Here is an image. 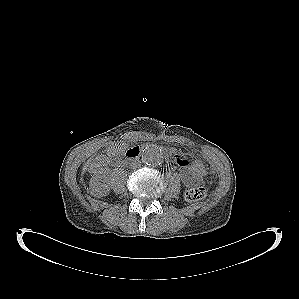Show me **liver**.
<instances>
[{
	"label": "liver",
	"mask_w": 299,
	"mask_h": 299,
	"mask_svg": "<svg viewBox=\"0 0 299 299\" xmlns=\"http://www.w3.org/2000/svg\"><path fill=\"white\" fill-rule=\"evenodd\" d=\"M87 166H88V165H87ZM87 166L84 167V169H83L84 171L87 169Z\"/></svg>",
	"instance_id": "liver-1"
}]
</instances>
